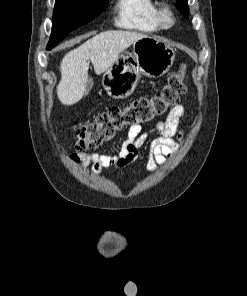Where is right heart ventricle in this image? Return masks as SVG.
Masks as SVG:
<instances>
[{
	"instance_id": "1",
	"label": "right heart ventricle",
	"mask_w": 247,
	"mask_h": 296,
	"mask_svg": "<svg viewBox=\"0 0 247 296\" xmlns=\"http://www.w3.org/2000/svg\"><path fill=\"white\" fill-rule=\"evenodd\" d=\"M115 23L118 27L142 33L160 30L155 0H117Z\"/></svg>"
}]
</instances>
